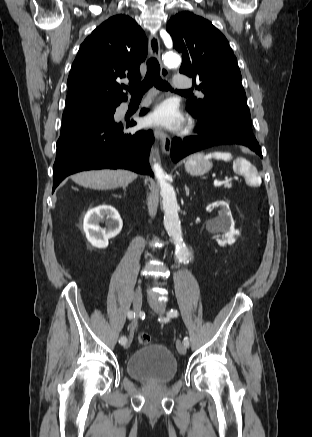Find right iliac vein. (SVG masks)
I'll return each instance as SVG.
<instances>
[{
	"mask_svg": "<svg viewBox=\"0 0 312 437\" xmlns=\"http://www.w3.org/2000/svg\"><path fill=\"white\" fill-rule=\"evenodd\" d=\"M142 308V294L140 290H137L133 298V309L136 313H139ZM137 319L134 320L132 329L135 327ZM132 333H130L128 340L124 343V348H128L131 344Z\"/></svg>",
	"mask_w": 312,
	"mask_h": 437,
	"instance_id": "1",
	"label": "right iliac vein"
}]
</instances>
